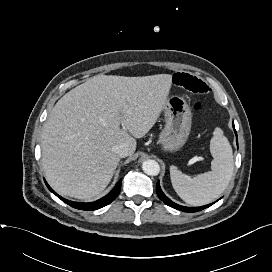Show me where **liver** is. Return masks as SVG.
Wrapping results in <instances>:
<instances>
[{"label": "liver", "instance_id": "obj_1", "mask_svg": "<svg viewBox=\"0 0 272 272\" xmlns=\"http://www.w3.org/2000/svg\"><path fill=\"white\" fill-rule=\"evenodd\" d=\"M172 75H97L66 93L42 131V167L62 196L90 201L109 184L120 157L113 147L145 136L168 101ZM120 125L123 128H120Z\"/></svg>", "mask_w": 272, "mask_h": 272}]
</instances>
